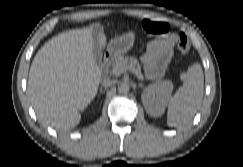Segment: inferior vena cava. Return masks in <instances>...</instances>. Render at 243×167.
Listing matches in <instances>:
<instances>
[{"mask_svg":"<svg viewBox=\"0 0 243 167\" xmlns=\"http://www.w3.org/2000/svg\"><path fill=\"white\" fill-rule=\"evenodd\" d=\"M112 83H113V81H111V80H105V81L103 82V86L108 87V86H110Z\"/></svg>","mask_w":243,"mask_h":167,"instance_id":"obj_1","label":"inferior vena cava"}]
</instances>
